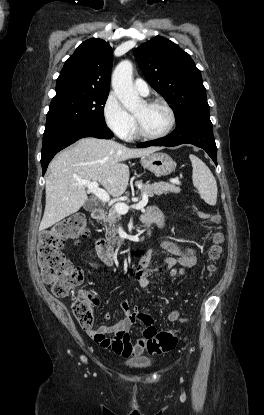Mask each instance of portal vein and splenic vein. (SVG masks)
I'll list each match as a JSON object with an SVG mask.
<instances>
[{"label": "portal vein and splenic vein", "mask_w": 264, "mask_h": 415, "mask_svg": "<svg viewBox=\"0 0 264 415\" xmlns=\"http://www.w3.org/2000/svg\"><path fill=\"white\" fill-rule=\"evenodd\" d=\"M172 183L179 185L180 181L178 180H171ZM81 185H84L87 187L88 191L91 192L93 195H95L99 200H101L104 203L109 202L110 196L109 194L102 188L99 187V184L97 182H89V181H79ZM148 203V195L144 193L142 195V200H140L137 204H133L131 206H128L125 203L118 202L115 204L114 208L115 210L120 214H126L130 208L139 210L141 208H144Z\"/></svg>", "instance_id": "18ae733b"}]
</instances>
